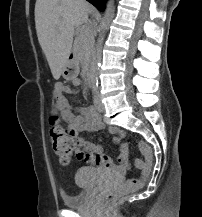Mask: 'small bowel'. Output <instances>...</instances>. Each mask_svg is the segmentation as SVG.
Here are the masks:
<instances>
[{"mask_svg": "<svg viewBox=\"0 0 202 217\" xmlns=\"http://www.w3.org/2000/svg\"><path fill=\"white\" fill-rule=\"evenodd\" d=\"M73 85L78 86L80 79H73ZM69 86L62 82H57L54 86V96L56 108L61 117L67 124V132L77 138L78 144L84 148L81 160L86 162L89 167L96 168L105 173H112L118 176L125 175L130 169L129 147L123 142L124 132L116 127H110L109 133L114 137V141L120 145V153L117 161H113L104 153L102 145L88 142L78 135L82 132L99 130L102 128L101 116L93 106L78 107L73 109L66 95L71 93Z\"/></svg>", "mask_w": 202, "mask_h": 217, "instance_id": "1", "label": "small bowel"}]
</instances>
